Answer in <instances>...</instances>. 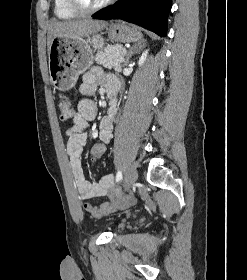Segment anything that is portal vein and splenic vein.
Masks as SVG:
<instances>
[{
  "label": "portal vein and splenic vein",
  "instance_id": "portal-vein-and-splenic-vein-1",
  "mask_svg": "<svg viewBox=\"0 0 247 280\" xmlns=\"http://www.w3.org/2000/svg\"><path fill=\"white\" fill-rule=\"evenodd\" d=\"M125 53H126V52H124V54H125ZM124 54H123V56H124ZM123 56H121V57L119 58V61H120V62H123V61H124Z\"/></svg>",
  "mask_w": 247,
  "mask_h": 280
}]
</instances>
